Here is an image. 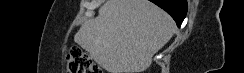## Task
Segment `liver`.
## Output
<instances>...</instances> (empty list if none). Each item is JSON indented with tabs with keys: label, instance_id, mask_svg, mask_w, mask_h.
<instances>
[{
	"label": "liver",
	"instance_id": "obj_1",
	"mask_svg": "<svg viewBox=\"0 0 244 73\" xmlns=\"http://www.w3.org/2000/svg\"><path fill=\"white\" fill-rule=\"evenodd\" d=\"M175 30L171 16L148 0H107L74 41L108 73H141Z\"/></svg>",
	"mask_w": 244,
	"mask_h": 73
}]
</instances>
